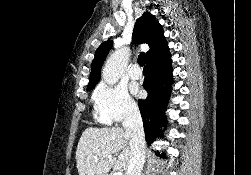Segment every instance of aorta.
<instances>
[{
  "instance_id": "762f6f07",
  "label": "aorta",
  "mask_w": 251,
  "mask_h": 175,
  "mask_svg": "<svg viewBox=\"0 0 251 175\" xmlns=\"http://www.w3.org/2000/svg\"><path fill=\"white\" fill-rule=\"evenodd\" d=\"M129 60V48H121V50H116L110 58H108L104 70L102 72V80L109 84V86H114L119 82L122 74H124Z\"/></svg>"
}]
</instances>
